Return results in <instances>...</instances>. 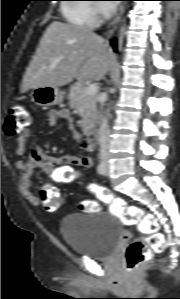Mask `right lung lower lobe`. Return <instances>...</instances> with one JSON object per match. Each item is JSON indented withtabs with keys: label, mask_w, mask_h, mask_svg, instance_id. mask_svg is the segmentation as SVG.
<instances>
[{
	"label": "right lung lower lobe",
	"mask_w": 180,
	"mask_h": 299,
	"mask_svg": "<svg viewBox=\"0 0 180 299\" xmlns=\"http://www.w3.org/2000/svg\"><path fill=\"white\" fill-rule=\"evenodd\" d=\"M111 45L113 46V49H114L115 51H117L116 40H112V41H111Z\"/></svg>",
	"instance_id": "98d812e1"
}]
</instances>
